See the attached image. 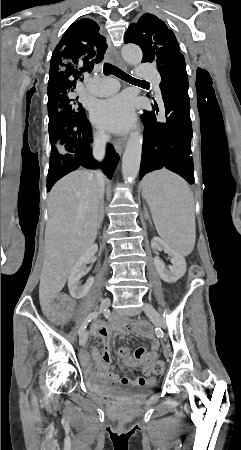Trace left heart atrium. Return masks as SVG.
Instances as JSON below:
<instances>
[{
    "label": "left heart atrium",
    "instance_id": "left-heart-atrium-1",
    "mask_svg": "<svg viewBox=\"0 0 241 450\" xmlns=\"http://www.w3.org/2000/svg\"><path fill=\"white\" fill-rule=\"evenodd\" d=\"M134 109L135 102L129 94H117L99 102L92 111V119L104 131L122 133L133 125Z\"/></svg>",
    "mask_w": 241,
    "mask_h": 450
}]
</instances>
